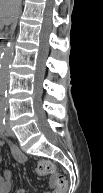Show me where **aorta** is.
<instances>
[{
  "mask_svg": "<svg viewBox=\"0 0 103 193\" xmlns=\"http://www.w3.org/2000/svg\"><path fill=\"white\" fill-rule=\"evenodd\" d=\"M14 44L13 41H9L3 49V52L0 57V90L2 94L5 93L9 69L13 58ZM6 105L5 98H2V108L4 109Z\"/></svg>",
  "mask_w": 103,
  "mask_h": 193,
  "instance_id": "1",
  "label": "aorta"
}]
</instances>
